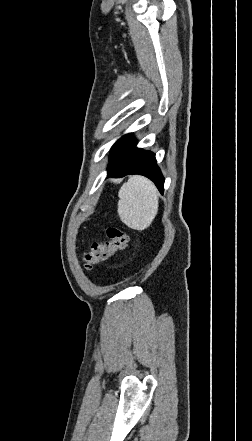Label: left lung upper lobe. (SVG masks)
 <instances>
[{"label": "left lung upper lobe", "instance_id": "5c2ea615", "mask_svg": "<svg viewBox=\"0 0 252 441\" xmlns=\"http://www.w3.org/2000/svg\"><path fill=\"white\" fill-rule=\"evenodd\" d=\"M125 137H126V136H123L121 139H119V140L113 145V147L111 148V153H110V156H109V161H110V163L113 161V159H114L115 156L117 155V153H118V151H119V149H120V147H121V145H122V143H123Z\"/></svg>", "mask_w": 252, "mask_h": 441}]
</instances>
